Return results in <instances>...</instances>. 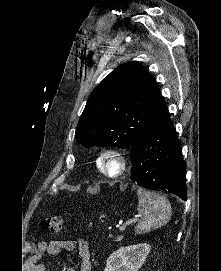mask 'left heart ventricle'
Listing matches in <instances>:
<instances>
[{
	"label": "left heart ventricle",
	"mask_w": 221,
	"mask_h": 271,
	"mask_svg": "<svg viewBox=\"0 0 221 271\" xmlns=\"http://www.w3.org/2000/svg\"><path fill=\"white\" fill-rule=\"evenodd\" d=\"M108 176H109V177H117V176H118V173H117V172H109V173H108Z\"/></svg>",
	"instance_id": "1"
}]
</instances>
